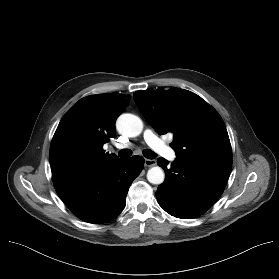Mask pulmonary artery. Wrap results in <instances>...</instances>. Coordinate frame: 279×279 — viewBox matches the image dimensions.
<instances>
[{"instance_id":"1","label":"pulmonary artery","mask_w":279,"mask_h":279,"mask_svg":"<svg viewBox=\"0 0 279 279\" xmlns=\"http://www.w3.org/2000/svg\"><path fill=\"white\" fill-rule=\"evenodd\" d=\"M145 142L158 154L169 160L176 158V153L163 142L151 129H146L143 133ZM128 145H121L120 148H125Z\"/></svg>"}]
</instances>
